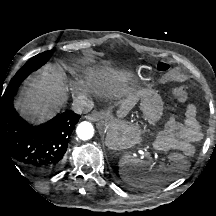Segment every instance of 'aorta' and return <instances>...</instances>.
Wrapping results in <instances>:
<instances>
[{
  "label": "aorta",
  "instance_id": "aorta-1",
  "mask_svg": "<svg viewBox=\"0 0 216 216\" xmlns=\"http://www.w3.org/2000/svg\"><path fill=\"white\" fill-rule=\"evenodd\" d=\"M76 132L81 140H88L93 137L94 128L91 123L84 121L77 126Z\"/></svg>",
  "mask_w": 216,
  "mask_h": 216
}]
</instances>
